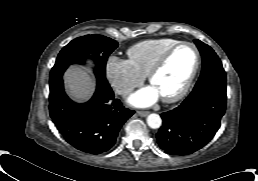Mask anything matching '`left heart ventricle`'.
Returning <instances> with one entry per match:
<instances>
[{
    "label": "left heart ventricle",
    "instance_id": "obj_1",
    "mask_svg": "<svg viewBox=\"0 0 258 181\" xmlns=\"http://www.w3.org/2000/svg\"><path fill=\"white\" fill-rule=\"evenodd\" d=\"M196 61L194 50L189 46L179 48L154 78L152 86L161 97L178 93L188 80Z\"/></svg>",
    "mask_w": 258,
    "mask_h": 181
}]
</instances>
